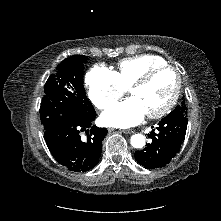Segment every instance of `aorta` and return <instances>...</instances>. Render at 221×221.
<instances>
[{
  "mask_svg": "<svg viewBox=\"0 0 221 221\" xmlns=\"http://www.w3.org/2000/svg\"><path fill=\"white\" fill-rule=\"evenodd\" d=\"M130 140L131 145L136 149H141L145 146V137L142 134H134Z\"/></svg>",
  "mask_w": 221,
  "mask_h": 221,
  "instance_id": "1",
  "label": "aorta"
}]
</instances>
